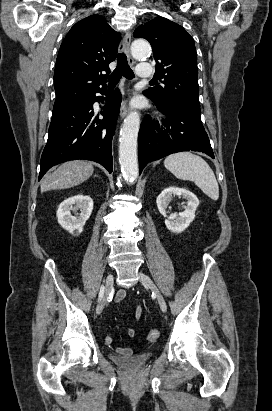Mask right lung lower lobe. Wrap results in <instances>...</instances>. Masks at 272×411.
<instances>
[{"label": "right lung lower lobe", "instance_id": "1", "mask_svg": "<svg viewBox=\"0 0 272 411\" xmlns=\"http://www.w3.org/2000/svg\"><path fill=\"white\" fill-rule=\"evenodd\" d=\"M96 93L104 95L105 89L52 113L39 180L52 166L76 159L98 162L112 172V138L122 97L116 89L101 111L103 119H99L93 111L94 102L100 101Z\"/></svg>", "mask_w": 272, "mask_h": 411}]
</instances>
